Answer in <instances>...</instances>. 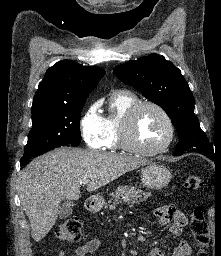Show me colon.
<instances>
[{
  "instance_id": "obj_1",
  "label": "colon",
  "mask_w": 221,
  "mask_h": 256,
  "mask_svg": "<svg viewBox=\"0 0 221 256\" xmlns=\"http://www.w3.org/2000/svg\"><path fill=\"white\" fill-rule=\"evenodd\" d=\"M204 186V180L197 175L187 177L183 182V190L197 191ZM193 238L198 246L197 256H207L204 248L209 242V230L204 216V209L198 206L194 209L190 224ZM56 238L63 242H77L81 239V221L71 217L59 224L55 231Z\"/></svg>"
}]
</instances>
